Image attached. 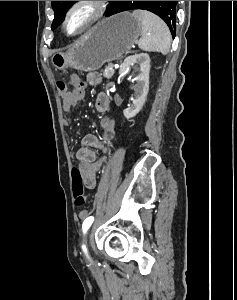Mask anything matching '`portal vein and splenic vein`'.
Masks as SVG:
<instances>
[{
  "instance_id": "obj_1",
  "label": "portal vein and splenic vein",
  "mask_w": 237,
  "mask_h": 300,
  "mask_svg": "<svg viewBox=\"0 0 237 300\" xmlns=\"http://www.w3.org/2000/svg\"><path fill=\"white\" fill-rule=\"evenodd\" d=\"M109 64H110V65H109L108 67L111 69V68L113 67V66L111 65L112 63L110 62Z\"/></svg>"
}]
</instances>
